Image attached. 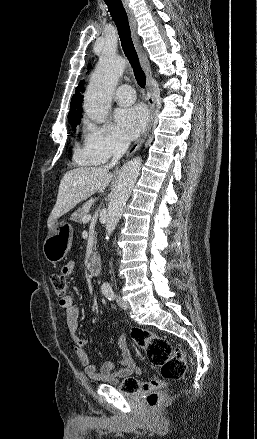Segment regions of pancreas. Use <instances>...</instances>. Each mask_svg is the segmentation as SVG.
Segmentation results:
<instances>
[{
	"label": "pancreas",
	"mask_w": 257,
	"mask_h": 439,
	"mask_svg": "<svg viewBox=\"0 0 257 439\" xmlns=\"http://www.w3.org/2000/svg\"><path fill=\"white\" fill-rule=\"evenodd\" d=\"M90 206L84 204L82 207L78 208L71 216V220L77 223H81L84 216L88 215Z\"/></svg>",
	"instance_id": "pancreas-1"
}]
</instances>
